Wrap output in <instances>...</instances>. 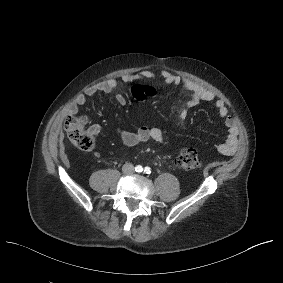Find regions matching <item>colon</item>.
Listing matches in <instances>:
<instances>
[{"label": "colon", "instance_id": "colon-1", "mask_svg": "<svg viewBox=\"0 0 283 283\" xmlns=\"http://www.w3.org/2000/svg\"><path fill=\"white\" fill-rule=\"evenodd\" d=\"M133 97L144 100L155 95V90L146 85H135L131 89ZM66 132L72 143L84 151L92 150L94 138L85 129V119L82 116L68 114L64 123ZM175 164L182 170H193L201 166L200 158L196 150L192 148L183 149L175 158Z\"/></svg>", "mask_w": 283, "mask_h": 283}]
</instances>
